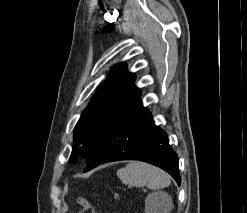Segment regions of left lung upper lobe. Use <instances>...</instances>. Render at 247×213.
Returning <instances> with one entry per match:
<instances>
[{
	"mask_svg": "<svg viewBox=\"0 0 247 213\" xmlns=\"http://www.w3.org/2000/svg\"><path fill=\"white\" fill-rule=\"evenodd\" d=\"M134 81L135 75L127 73L124 64L113 69L75 126L70 163L78 156L86 158L97 139L139 98Z\"/></svg>",
	"mask_w": 247,
	"mask_h": 213,
	"instance_id": "5c2ea615",
	"label": "left lung upper lobe"
}]
</instances>
